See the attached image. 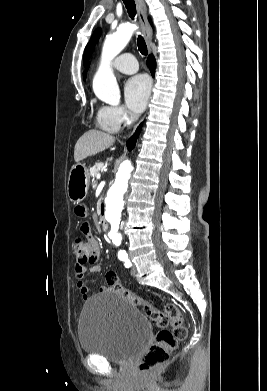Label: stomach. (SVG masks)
<instances>
[{
	"label": "stomach",
	"instance_id": "1",
	"mask_svg": "<svg viewBox=\"0 0 267 391\" xmlns=\"http://www.w3.org/2000/svg\"><path fill=\"white\" fill-rule=\"evenodd\" d=\"M90 175L84 164L74 165L69 173L67 195L73 203H80L87 195Z\"/></svg>",
	"mask_w": 267,
	"mask_h": 391
}]
</instances>
